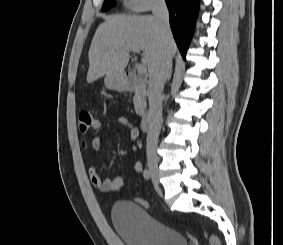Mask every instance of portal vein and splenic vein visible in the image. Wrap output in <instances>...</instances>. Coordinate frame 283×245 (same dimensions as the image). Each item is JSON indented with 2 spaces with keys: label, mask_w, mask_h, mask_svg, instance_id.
I'll return each instance as SVG.
<instances>
[{
  "label": "portal vein and splenic vein",
  "mask_w": 283,
  "mask_h": 245,
  "mask_svg": "<svg viewBox=\"0 0 283 245\" xmlns=\"http://www.w3.org/2000/svg\"><path fill=\"white\" fill-rule=\"evenodd\" d=\"M136 68L139 74H145L147 72V67L144 63L137 65Z\"/></svg>",
  "instance_id": "portal-vein-and-splenic-vein-1"
}]
</instances>
